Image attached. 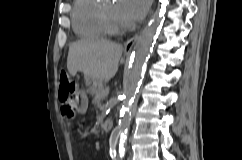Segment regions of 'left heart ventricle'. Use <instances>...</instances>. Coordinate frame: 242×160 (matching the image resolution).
Segmentation results:
<instances>
[{"instance_id": "left-heart-ventricle-1", "label": "left heart ventricle", "mask_w": 242, "mask_h": 160, "mask_svg": "<svg viewBox=\"0 0 242 160\" xmlns=\"http://www.w3.org/2000/svg\"><path fill=\"white\" fill-rule=\"evenodd\" d=\"M106 17L111 25L117 28L124 27L125 25L120 20L117 11H116V2H113L111 0H106L101 4Z\"/></svg>"}]
</instances>
